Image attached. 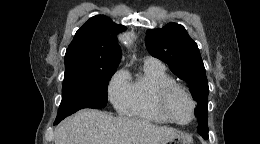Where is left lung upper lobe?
I'll return each mask as SVG.
<instances>
[{
  "label": "left lung upper lobe",
  "mask_w": 260,
  "mask_h": 144,
  "mask_svg": "<svg viewBox=\"0 0 260 144\" xmlns=\"http://www.w3.org/2000/svg\"><path fill=\"white\" fill-rule=\"evenodd\" d=\"M146 47L149 53L169 65L172 72L185 80L197 101L198 133L208 138L207 107L209 87L197 44L185 28L169 23L163 28L148 30Z\"/></svg>",
  "instance_id": "obj_1"
}]
</instances>
